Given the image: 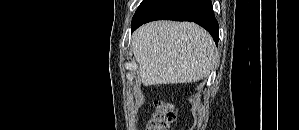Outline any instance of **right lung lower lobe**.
I'll list each match as a JSON object with an SVG mask.
<instances>
[{"mask_svg":"<svg viewBox=\"0 0 299 130\" xmlns=\"http://www.w3.org/2000/svg\"><path fill=\"white\" fill-rule=\"evenodd\" d=\"M154 20L192 21L205 28L218 44L219 25L211 0H149L135 13L132 32Z\"/></svg>","mask_w":299,"mask_h":130,"instance_id":"1","label":"right lung lower lobe"}]
</instances>
